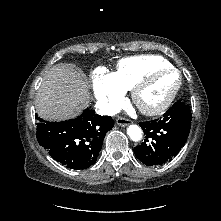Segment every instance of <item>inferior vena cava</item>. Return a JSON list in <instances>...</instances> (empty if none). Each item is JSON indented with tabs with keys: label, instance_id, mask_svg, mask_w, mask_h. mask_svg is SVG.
I'll use <instances>...</instances> for the list:
<instances>
[{
	"label": "inferior vena cava",
	"instance_id": "obj_1",
	"mask_svg": "<svg viewBox=\"0 0 221 221\" xmlns=\"http://www.w3.org/2000/svg\"><path fill=\"white\" fill-rule=\"evenodd\" d=\"M95 107H96V112L100 115L113 116L119 113L120 111L119 108L103 102H97Z\"/></svg>",
	"mask_w": 221,
	"mask_h": 221
}]
</instances>
